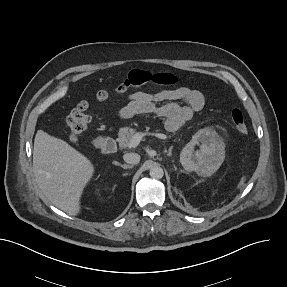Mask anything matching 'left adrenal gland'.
Masks as SVG:
<instances>
[{
  "instance_id": "a2214340",
  "label": "left adrenal gland",
  "mask_w": 287,
  "mask_h": 287,
  "mask_svg": "<svg viewBox=\"0 0 287 287\" xmlns=\"http://www.w3.org/2000/svg\"><path fill=\"white\" fill-rule=\"evenodd\" d=\"M172 149H173V146H171L170 148H169V150H168V156H171L172 155Z\"/></svg>"
}]
</instances>
